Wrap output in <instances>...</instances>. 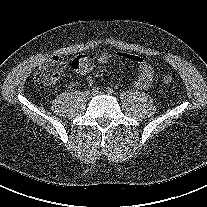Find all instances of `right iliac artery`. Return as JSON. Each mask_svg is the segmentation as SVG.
I'll return each instance as SVG.
<instances>
[{"label":"right iliac artery","instance_id":"right-iliac-artery-1","mask_svg":"<svg viewBox=\"0 0 207 207\" xmlns=\"http://www.w3.org/2000/svg\"><path fill=\"white\" fill-rule=\"evenodd\" d=\"M92 92H93V93H98V92H99V88L96 87V86L93 87V88H92Z\"/></svg>","mask_w":207,"mask_h":207}]
</instances>
